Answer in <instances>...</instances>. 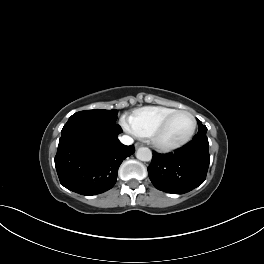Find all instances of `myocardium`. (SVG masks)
Returning <instances> with one entry per match:
<instances>
[{
  "mask_svg": "<svg viewBox=\"0 0 264 264\" xmlns=\"http://www.w3.org/2000/svg\"><path fill=\"white\" fill-rule=\"evenodd\" d=\"M181 113L188 114L192 120V128H191L190 133L185 138L179 141H176V142H172V143L162 142L161 135L164 133V131L168 127L170 121L172 120L174 116H176L177 114H181ZM196 128H197V120L190 111L184 110V109L174 110L169 115H167L165 119L154 129V131L152 132L150 136V141L152 145L160 151H163V152L173 151L189 143L195 135Z\"/></svg>",
  "mask_w": 264,
  "mask_h": 264,
  "instance_id": "myocardium-1",
  "label": "myocardium"
}]
</instances>
